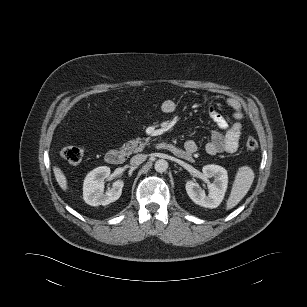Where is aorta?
<instances>
[{
	"label": "aorta",
	"instance_id": "aorta-1",
	"mask_svg": "<svg viewBox=\"0 0 307 307\" xmlns=\"http://www.w3.org/2000/svg\"><path fill=\"white\" fill-rule=\"evenodd\" d=\"M154 168L157 172H165L168 168V162L164 159H159L155 162Z\"/></svg>",
	"mask_w": 307,
	"mask_h": 307
}]
</instances>
